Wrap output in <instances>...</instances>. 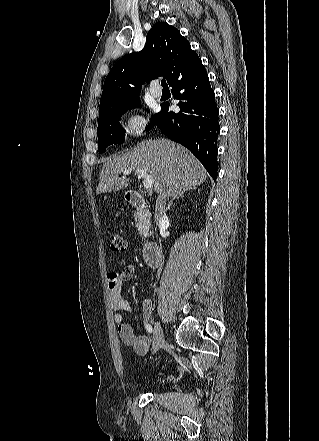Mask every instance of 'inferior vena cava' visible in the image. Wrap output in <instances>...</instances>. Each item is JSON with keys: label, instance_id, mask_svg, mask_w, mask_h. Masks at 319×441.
Returning a JSON list of instances; mask_svg holds the SVG:
<instances>
[{"label": "inferior vena cava", "instance_id": "inferior-vena-cava-1", "mask_svg": "<svg viewBox=\"0 0 319 441\" xmlns=\"http://www.w3.org/2000/svg\"><path fill=\"white\" fill-rule=\"evenodd\" d=\"M167 221L165 210V200H159L155 206V222L163 223Z\"/></svg>", "mask_w": 319, "mask_h": 441}]
</instances>
